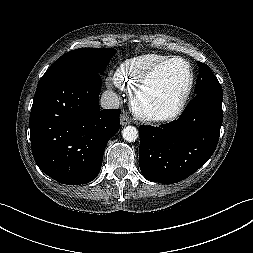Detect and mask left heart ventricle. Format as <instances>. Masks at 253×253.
Here are the masks:
<instances>
[{
  "label": "left heart ventricle",
  "instance_id": "left-heart-ventricle-1",
  "mask_svg": "<svg viewBox=\"0 0 253 253\" xmlns=\"http://www.w3.org/2000/svg\"><path fill=\"white\" fill-rule=\"evenodd\" d=\"M189 83L188 67L178 61L159 69L145 89L141 103L157 113H167L176 105Z\"/></svg>",
  "mask_w": 253,
  "mask_h": 253
}]
</instances>
